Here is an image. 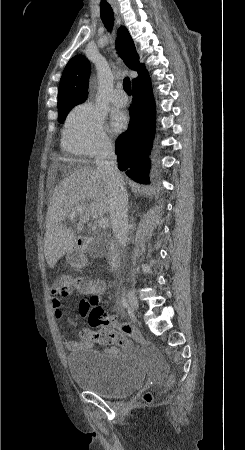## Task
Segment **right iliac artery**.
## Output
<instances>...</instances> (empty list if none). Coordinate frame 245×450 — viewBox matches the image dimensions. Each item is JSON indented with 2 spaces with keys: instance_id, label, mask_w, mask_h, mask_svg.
I'll return each mask as SVG.
<instances>
[{
  "instance_id": "82829eb1",
  "label": "right iliac artery",
  "mask_w": 245,
  "mask_h": 450,
  "mask_svg": "<svg viewBox=\"0 0 245 450\" xmlns=\"http://www.w3.org/2000/svg\"><path fill=\"white\" fill-rule=\"evenodd\" d=\"M121 303H122V306H123L126 310L129 309V305H128V302H127V300H126L125 297H122V298H121Z\"/></svg>"
}]
</instances>
